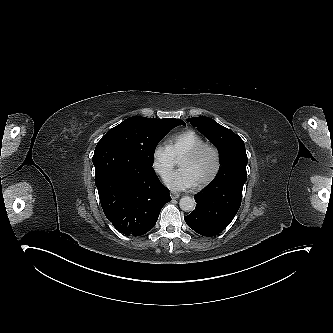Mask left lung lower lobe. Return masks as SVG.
Listing matches in <instances>:
<instances>
[{
    "mask_svg": "<svg viewBox=\"0 0 333 333\" xmlns=\"http://www.w3.org/2000/svg\"><path fill=\"white\" fill-rule=\"evenodd\" d=\"M245 181L224 184L213 180L194 196L196 209L184 216L187 225L203 236H215L222 232L235 217L242 199Z\"/></svg>",
    "mask_w": 333,
    "mask_h": 333,
    "instance_id": "1",
    "label": "left lung lower lobe"
}]
</instances>
